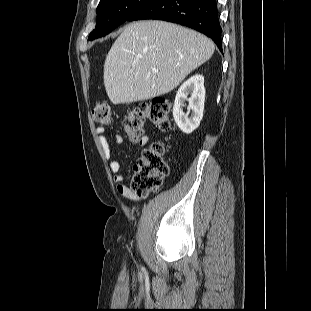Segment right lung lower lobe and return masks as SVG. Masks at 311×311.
<instances>
[{
  "label": "right lung lower lobe",
  "instance_id": "obj_1",
  "mask_svg": "<svg viewBox=\"0 0 311 311\" xmlns=\"http://www.w3.org/2000/svg\"><path fill=\"white\" fill-rule=\"evenodd\" d=\"M156 19L193 28L210 37L222 52L216 0H154L127 21Z\"/></svg>",
  "mask_w": 311,
  "mask_h": 311
}]
</instances>
